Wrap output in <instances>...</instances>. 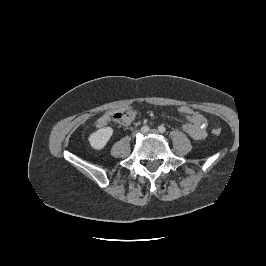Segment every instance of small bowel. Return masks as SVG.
I'll return each instance as SVG.
<instances>
[{
	"mask_svg": "<svg viewBox=\"0 0 266 266\" xmlns=\"http://www.w3.org/2000/svg\"><path fill=\"white\" fill-rule=\"evenodd\" d=\"M136 116V111H134V117L125 123V125L130 124ZM111 119V113L106 112L102 114L96 121V126L98 128L106 126ZM207 120L206 118L199 114L195 113L190 117H185V122L183 124V130L194 140H202L207 136L206 132Z\"/></svg>",
	"mask_w": 266,
	"mask_h": 266,
	"instance_id": "c3829d8e",
	"label": "small bowel"
}]
</instances>
